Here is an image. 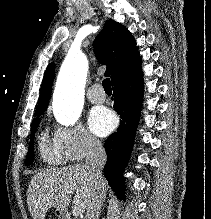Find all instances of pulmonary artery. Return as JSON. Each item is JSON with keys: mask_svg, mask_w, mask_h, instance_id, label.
Instances as JSON below:
<instances>
[{"mask_svg": "<svg viewBox=\"0 0 211 219\" xmlns=\"http://www.w3.org/2000/svg\"><path fill=\"white\" fill-rule=\"evenodd\" d=\"M99 88H100L99 84H94L90 87V89L87 93L88 100L93 104L103 103L106 99L105 92L98 91Z\"/></svg>", "mask_w": 211, "mask_h": 219, "instance_id": "e3ab8cb5", "label": "pulmonary artery"}]
</instances>
